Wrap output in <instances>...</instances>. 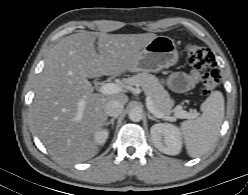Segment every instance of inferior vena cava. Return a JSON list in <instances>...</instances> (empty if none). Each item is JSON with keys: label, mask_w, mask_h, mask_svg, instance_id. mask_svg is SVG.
Returning a JSON list of instances; mask_svg holds the SVG:
<instances>
[{"label": "inferior vena cava", "mask_w": 248, "mask_h": 195, "mask_svg": "<svg viewBox=\"0 0 248 195\" xmlns=\"http://www.w3.org/2000/svg\"><path fill=\"white\" fill-rule=\"evenodd\" d=\"M124 104L118 100H111L106 104V113L111 117H117L123 111Z\"/></svg>", "instance_id": "inferior-vena-cava-1"}]
</instances>
